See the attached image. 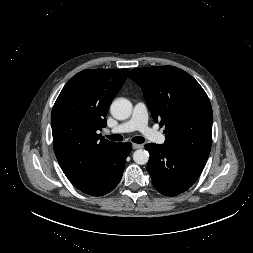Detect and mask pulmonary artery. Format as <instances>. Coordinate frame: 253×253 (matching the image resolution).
<instances>
[{
    "instance_id": "1",
    "label": "pulmonary artery",
    "mask_w": 253,
    "mask_h": 253,
    "mask_svg": "<svg viewBox=\"0 0 253 253\" xmlns=\"http://www.w3.org/2000/svg\"><path fill=\"white\" fill-rule=\"evenodd\" d=\"M136 130L140 131L152 142L158 144H163L165 142V136L162 133L148 126V111L143 102H138L135 104L132 116L128 121L121 123L110 130H106V132L116 134L128 133Z\"/></svg>"
}]
</instances>
